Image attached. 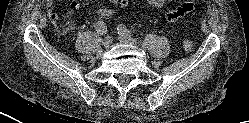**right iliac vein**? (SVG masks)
<instances>
[{"label":"right iliac vein","mask_w":249,"mask_h":123,"mask_svg":"<svg viewBox=\"0 0 249 123\" xmlns=\"http://www.w3.org/2000/svg\"><path fill=\"white\" fill-rule=\"evenodd\" d=\"M112 44V37L111 36H106L103 40V46L105 48L110 47V45Z\"/></svg>","instance_id":"1"}]
</instances>
